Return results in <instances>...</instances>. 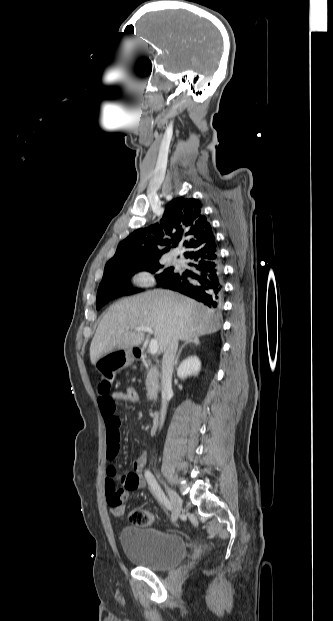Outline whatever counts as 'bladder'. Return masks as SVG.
Returning <instances> with one entry per match:
<instances>
[{
  "instance_id": "obj_1",
  "label": "bladder",
  "mask_w": 333,
  "mask_h": 621,
  "mask_svg": "<svg viewBox=\"0 0 333 621\" xmlns=\"http://www.w3.org/2000/svg\"><path fill=\"white\" fill-rule=\"evenodd\" d=\"M120 543L131 563L154 571L178 565L187 554L186 542L181 536L149 526L123 528Z\"/></svg>"
}]
</instances>
